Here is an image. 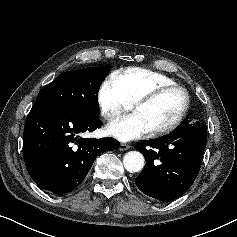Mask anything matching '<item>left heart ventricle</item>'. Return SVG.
<instances>
[{"label": "left heart ventricle", "instance_id": "b2bd125f", "mask_svg": "<svg viewBox=\"0 0 237 237\" xmlns=\"http://www.w3.org/2000/svg\"><path fill=\"white\" fill-rule=\"evenodd\" d=\"M183 104L182 92L171 90L151 103L132 107V111L139 115L149 131H152L170 124L182 109Z\"/></svg>", "mask_w": 237, "mask_h": 237}]
</instances>
